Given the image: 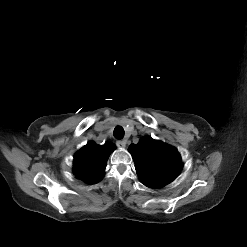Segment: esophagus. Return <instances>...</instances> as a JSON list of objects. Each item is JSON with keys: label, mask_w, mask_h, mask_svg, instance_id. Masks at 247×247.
I'll list each match as a JSON object with an SVG mask.
<instances>
[{"label": "esophagus", "mask_w": 247, "mask_h": 247, "mask_svg": "<svg viewBox=\"0 0 247 247\" xmlns=\"http://www.w3.org/2000/svg\"><path fill=\"white\" fill-rule=\"evenodd\" d=\"M116 145L119 147V148H125L126 147V140H118L116 142Z\"/></svg>", "instance_id": "34e87169"}]
</instances>
